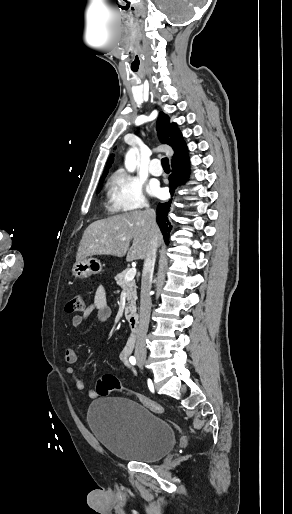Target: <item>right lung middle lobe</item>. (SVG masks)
Here are the masks:
<instances>
[{"label": "right lung middle lobe", "mask_w": 292, "mask_h": 514, "mask_svg": "<svg viewBox=\"0 0 292 514\" xmlns=\"http://www.w3.org/2000/svg\"><path fill=\"white\" fill-rule=\"evenodd\" d=\"M102 182H103V180H101V181L99 182V186H98L97 192H99V191H100L101 186H102Z\"/></svg>", "instance_id": "obj_1"}]
</instances>
